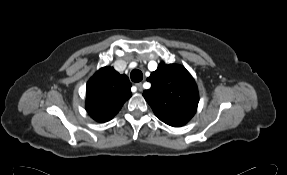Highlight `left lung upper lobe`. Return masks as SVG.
Here are the masks:
<instances>
[{
  "label": "left lung upper lobe",
  "mask_w": 287,
  "mask_h": 175,
  "mask_svg": "<svg viewBox=\"0 0 287 175\" xmlns=\"http://www.w3.org/2000/svg\"><path fill=\"white\" fill-rule=\"evenodd\" d=\"M152 87L143 92L155 115L164 123L179 127L195 114L199 96L190 73L177 64L160 63L147 79Z\"/></svg>",
  "instance_id": "obj_1"
}]
</instances>
